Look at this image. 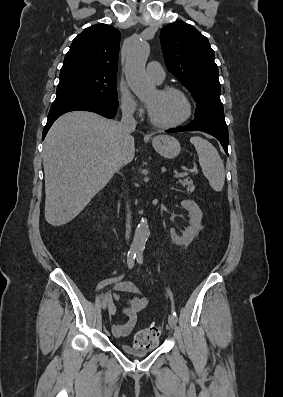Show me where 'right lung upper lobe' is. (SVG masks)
<instances>
[{"mask_svg": "<svg viewBox=\"0 0 283 397\" xmlns=\"http://www.w3.org/2000/svg\"><path fill=\"white\" fill-rule=\"evenodd\" d=\"M120 32L107 24L86 28L72 42L60 74L76 72L116 77Z\"/></svg>", "mask_w": 283, "mask_h": 397, "instance_id": "1", "label": "right lung upper lobe"}]
</instances>
